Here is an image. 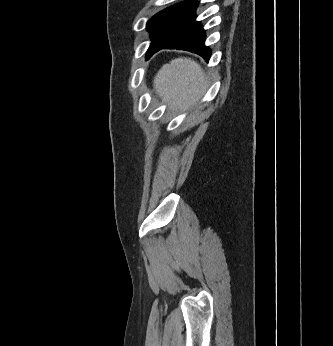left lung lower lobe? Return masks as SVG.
Here are the masks:
<instances>
[{"label":"left lung lower lobe","instance_id":"left-lung-lower-lobe-1","mask_svg":"<svg viewBox=\"0 0 333 346\" xmlns=\"http://www.w3.org/2000/svg\"><path fill=\"white\" fill-rule=\"evenodd\" d=\"M196 16L172 37L154 44L147 51V59L161 49H179L196 53L209 61L211 49L205 46L206 34Z\"/></svg>","mask_w":333,"mask_h":346}]
</instances>
